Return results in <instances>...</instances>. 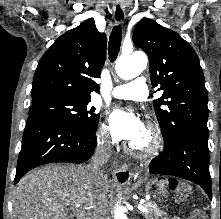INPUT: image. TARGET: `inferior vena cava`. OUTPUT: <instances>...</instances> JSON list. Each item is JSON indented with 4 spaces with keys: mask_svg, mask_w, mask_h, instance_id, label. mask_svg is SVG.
I'll return each instance as SVG.
<instances>
[{
    "mask_svg": "<svg viewBox=\"0 0 221 219\" xmlns=\"http://www.w3.org/2000/svg\"><path fill=\"white\" fill-rule=\"evenodd\" d=\"M112 153L111 142L107 139H100L98 141V146L95 151V155L92 160V164L90 168L93 174L98 178L105 177L103 170L101 167L104 166L105 163L109 160ZM105 214L102 211L95 210L93 212V219H104Z\"/></svg>",
    "mask_w": 221,
    "mask_h": 219,
    "instance_id": "602c4592",
    "label": "inferior vena cava"
}]
</instances>
